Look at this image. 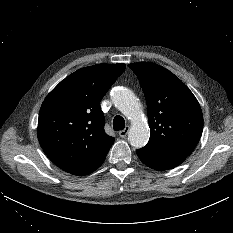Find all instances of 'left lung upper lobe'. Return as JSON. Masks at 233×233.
I'll list each match as a JSON object with an SVG mask.
<instances>
[{
	"label": "left lung upper lobe",
	"instance_id": "5c2ea615",
	"mask_svg": "<svg viewBox=\"0 0 233 233\" xmlns=\"http://www.w3.org/2000/svg\"><path fill=\"white\" fill-rule=\"evenodd\" d=\"M145 94L150 139L148 149L189 156L203 130L200 105L190 89L173 73L152 62L129 64Z\"/></svg>",
	"mask_w": 233,
	"mask_h": 233
}]
</instances>
